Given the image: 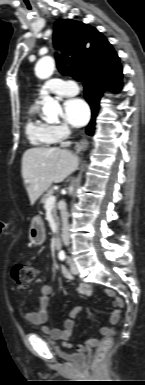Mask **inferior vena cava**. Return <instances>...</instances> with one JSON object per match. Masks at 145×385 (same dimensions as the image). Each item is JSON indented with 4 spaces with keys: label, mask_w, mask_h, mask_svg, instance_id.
I'll list each match as a JSON object with an SVG mask.
<instances>
[{
    "label": "inferior vena cava",
    "mask_w": 145,
    "mask_h": 385,
    "mask_svg": "<svg viewBox=\"0 0 145 385\" xmlns=\"http://www.w3.org/2000/svg\"><path fill=\"white\" fill-rule=\"evenodd\" d=\"M61 220H62V241L65 246H69L70 237H69V224H68V212L66 205L64 204L60 208Z\"/></svg>",
    "instance_id": "602c4592"
}]
</instances>
